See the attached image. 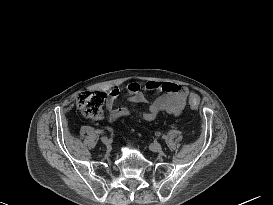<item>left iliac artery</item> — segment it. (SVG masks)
I'll return each instance as SVG.
<instances>
[{"instance_id": "44dca946", "label": "left iliac artery", "mask_w": 273, "mask_h": 205, "mask_svg": "<svg viewBox=\"0 0 273 205\" xmlns=\"http://www.w3.org/2000/svg\"><path fill=\"white\" fill-rule=\"evenodd\" d=\"M162 138H163V139H166V135H163Z\"/></svg>"}]
</instances>
